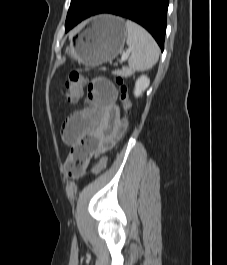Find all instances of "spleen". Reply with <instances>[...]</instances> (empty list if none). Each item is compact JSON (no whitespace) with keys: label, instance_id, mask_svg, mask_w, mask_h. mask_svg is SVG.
<instances>
[{"label":"spleen","instance_id":"spleen-1","mask_svg":"<svg viewBox=\"0 0 227 265\" xmlns=\"http://www.w3.org/2000/svg\"><path fill=\"white\" fill-rule=\"evenodd\" d=\"M126 43L131 50L129 67L134 71L151 69L159 59V47L153 37L140 25L126 21Z\"/></svg>","mask_w":227,"mask_h":265}]
</instances>
